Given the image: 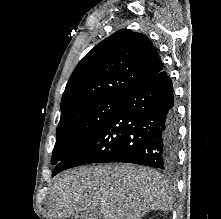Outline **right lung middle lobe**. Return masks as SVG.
I'll list each match as a JSON object with an SVG mask.
<instances>
[{
    "label": "right lung middle lobe",
    "mask_w": 221,
    "mask_h": 219,
    "mask_svg": "<svg viewBox=\"0 0 221 219\" xmlns=\"http://www.w3.org/2000/svg\"><path fill=\"white\" fill-rule=\"evenodd\" d=\"M121 99L91 100L62 113L51 163L57 165L81 149L101 129Z\"/></svg>",
    "instance_id": "obj_1"
}]
</instances>
